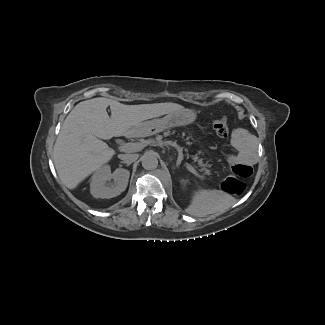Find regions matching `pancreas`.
I'll use <instances>...</instances> for the list:
<instances>
[{"label":"pancreas","instance_id":"1","mask_svg":"<svg viewBox=\"0 0 325 325\" xmlns=\"http://www.w3.org/2000/svg\"><path fill=\"white\" fill-rule=\"evenodd\" d=\"M166 137L170 141L181 143L186 149L190 157L193 159L196 167L200 170L201 174L207 176L211 172L210 165L203 158L201 152L197 149V145L186 134L179 131L170 130L167 132Z\"/></svg>","mask_w":325,"mask_h":325}]
</instances>
